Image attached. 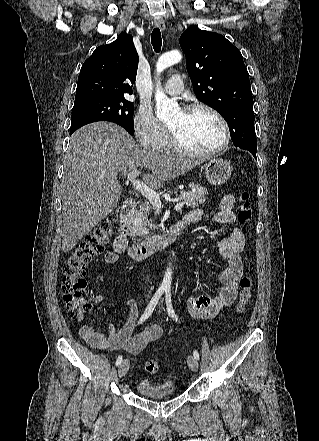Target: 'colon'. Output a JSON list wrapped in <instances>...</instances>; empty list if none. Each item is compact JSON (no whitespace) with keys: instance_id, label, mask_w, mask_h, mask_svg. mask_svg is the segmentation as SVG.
Instances as JSON below:
<instances>
[{"instance_id":"obj_1","label":"colon","mask_w":319,"mask_h":441,"mask_svg":"<svg viewBox=\"0 0 319 441\" xmlns=\"http://www.w3.org/2000/svg\"><path fill=\"white\" fill-rule=\"evenodd\" d=\"M247 191L241 192L238 197V221L244 225H250L253 219V209ZM116 213H111L90 234L75 247L68 255L63 266L62 295L69 318L79 320L87 313L91 304L89 302V290L85 280V268L91 259L100 254L110 236L113 233ZM239 299L235 306V312L240 314L251 300L253 282L249 271L240 279ZM145 368L149 373H157L159 362L148 360Z\"/></svg>"}]
</instances>
